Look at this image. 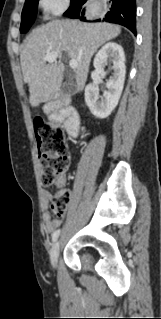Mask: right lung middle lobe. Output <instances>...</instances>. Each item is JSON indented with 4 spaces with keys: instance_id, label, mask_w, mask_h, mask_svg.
<instances>
[{
    "instance_id": "dd1d6c3e",
    "label": "right lung middle lobe",
    "mask_w": 161,
    "mask_h": 319,
    "mask_svg": "<svg viewBox=\"0 0 161 319\" xmlns=\"http://www.w3.org/2000/svg\"><path fill=\"white\" fill-rule=\"evenodd\" d=\"M78 0H71L72 6ZM38 0H26L21 17L20 32L26 33L33 24L37 13Z\"/></svg>"
}]
</instances>
